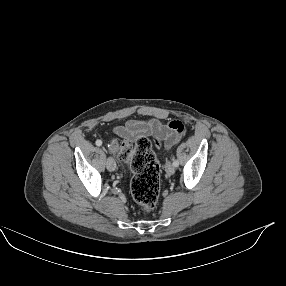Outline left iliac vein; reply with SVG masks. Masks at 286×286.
<instances>
[{
  "label": "left iliac vein",
  "mask_w": 286,
  "mask_h": 286,
  "mask_svg": "<svg viewBox=\"0 0 286 286\" xmlns=\"http://www.w3.org/2000/svg\"><path fill=\"white\" fill-rule=\"evenodd\" d=\"M165 171L169 175H172L175 172V167H174V165L170 161L166 162V164H165Z\"/></svg>",
  "instance_id": "1"
}]
</instances>
